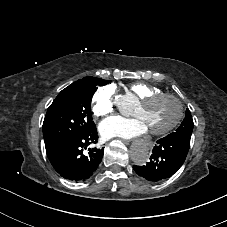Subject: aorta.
I'll return each instance as SVG.
<instances>
[{
  "label": "aorta",
  "instance_id": "1",
  "mask_svg": "<svg viewBox=\"0 0 227 227\" xmlns=\"http://www.w3.org/2000/svg\"><path fill=\"white\" fill-rule=\"evenodd\" d=\"M130 158L136 165H145L149 159V148L145 143L133 145L130 151Z\"/></svg>",
  "mask_w": 227,
  "mask_h": 227
}]
</instances>
